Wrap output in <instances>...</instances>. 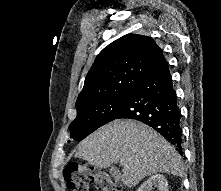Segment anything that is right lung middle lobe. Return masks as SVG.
I'll return each instance as SVG.
<instances>
[{
    "mask_svg": "<svg viewBox=\"0 0 221 191\" xmlns=\"http://www.w3.org/2000/svg\"><path fill=\"white\" fill-rule=\"evenodd\" d=\"M129 93L127 91L77 110V117L69 126L71 138L81 141L99 127L113 121Z\"/></svg>",
    "mask_w": 221,
    "mask_h": 191,
    "instance_id": "1",
    "label": "right lung middle lobe"
}]
</instances>
